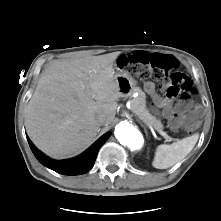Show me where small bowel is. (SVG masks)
<instances>
[{"label": "small bowel", "mask_w": 221, "mask_h": 221, "mask_svg": "<svg viewBox=\"0 0 221 221\" xmlns=\"http://www.w3.org/2000/svg\"><path fill=\"white\" fill-rule=\"evenodd\" d=\"M136 52H143V51H136ZM136 52H131L129 54H126L127 57H132ZM148 55L153 54L149 52H144ZM148 91L152 93V99L153 103L156 107L163 109V115L168 119H173L175 114L179 111V109L182 107V103H176L174 100V97L166 96L161 97L158 94H156L152 88V85L150 83L147 84Z\"/></svg>", "instance_id": "obj_1"}]
</instances>
